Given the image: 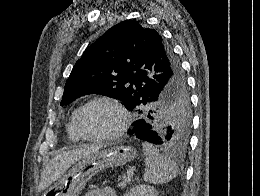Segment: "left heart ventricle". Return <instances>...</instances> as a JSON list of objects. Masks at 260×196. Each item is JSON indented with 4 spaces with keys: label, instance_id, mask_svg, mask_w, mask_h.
<instances>
[{
    "label": "left heart ventricle",
    "instance_id": "1",
    "mask_svg": "<svg viewBox=\"0 0 260 196\" xmlns=\"http://www.w3.org/2000/svg\"><path fill=\"white\" fill-rule=\"evenodd\" d=\"M121 118L112 105L97 102L87 107L81 114L80 124L86 134L101 136L119 127Z\"/></svg>",
    "mask_w": 260,
    "mask_h": 196
}]
</instances>
